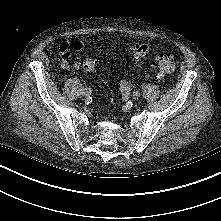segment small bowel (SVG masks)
<instances>
[{"mask_svg":"<svg viewBox=\"0 0 221 221\" xmlns=\"http://www.w3.org/2000/svg\"><path fill=\"white\" fill-rule=\"evenodd\" d=\"M59 50L63 55L60 62L61 68L67 71L78 70L82 68L81 62L71 63L68 58L73 52H85V45L79 41L64 42L59 45Z\"/></svg>","mask_w":221,"mask_h":221,"instance_id":"1","label":"small bowel"}]
</instances>
